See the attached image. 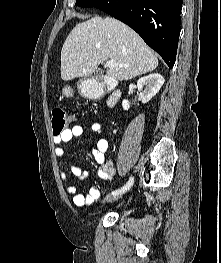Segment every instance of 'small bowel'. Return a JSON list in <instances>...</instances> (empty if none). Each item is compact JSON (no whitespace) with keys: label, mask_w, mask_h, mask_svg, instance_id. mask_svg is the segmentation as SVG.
<instances>
[{"label":"small bowel","mask_w":221,"mask_h":263,"mask_svg":"<svg viewBox=\"0 0 221 263\" xmlns=\"http://www.w3.org/2000/svg\"><path fill=\"white\" fill-rule=\"evenodd\" d=\"M91 131L100 136L103 132V126L100 123L91 124ZM83 133V128L80 125H74L66 129L61 135L54 136L55 144L54 154L58 158L65 157V149L62 145L69 143L72 139L80 137ZM108 149V142L104 138H99L96 143L91 146V153L95 161L99 165L97 175L101 179L111 180L116 176V171L113 163L105 157ZM71 173L79 179H85L88 176V171L80 165L74 164L71 166ZM60 178L66 183V192L72 196L73 203L78 207L89 206L100 197V188L97 185L89 187L87 193H79L77 187L70 182V175L67 171L60 172Z\"/></svg>","instance_id":"c3829d8e"}]
</instances>
